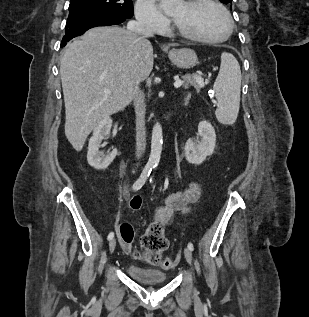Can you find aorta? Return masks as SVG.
I'll return each mask as SVG.
<instances>
[{
    "mask_svg": "<svg viewBox=\"0 0 309 317\" xmlns=\"http://www.w3.org/2000/svg\"><path fill=\"white\" fill-rule=\"evenodd\" d=\"M180 0H160L161 7L164 11L171 10ZM163 132L160 123L153 126L151 137V152L148 160L150 166H158L162 153Z\"/></svg>",
    "mask_w": 309,
    "mask_h": 317,
    "instance_id": "1",
    "label": "aorta"
}]
</instances>
